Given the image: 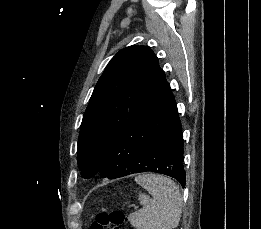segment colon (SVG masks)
<instances>
[{"instance_id": "1", "label": "colon", "mask_w": 261, "mask_h": 229, "mask_svg": "<svg viewBox=\"0 0 261 229\" xmlns=\"http://www.w3.org/2000/svg\"><path fill=\"white\" fill-rule=\"evenodd\" d=\"M127 220V216L120 210L100 212L89 229H123Z\"/></svg>"}]
</instances>
